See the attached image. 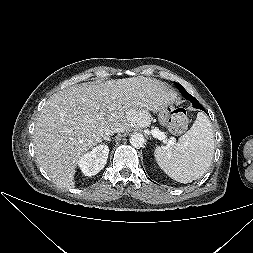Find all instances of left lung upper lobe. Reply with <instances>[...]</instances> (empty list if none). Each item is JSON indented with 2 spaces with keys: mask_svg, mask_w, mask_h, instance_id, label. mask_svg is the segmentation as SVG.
I'll return each mask as SVG.
<instances>
[{
  "mask_svg": "<svg viewBox=\"0 0 253 253\" xmlns=\"http://www.w3.org/2000/svg\"><path fill=\"white\" fill-rule=\"evenodd\" d=\"M175 86L178 88V90L182 93V95L191 101L193 96H191L179 83L174 82Z\"/></svg>",
  "mask_w": 253,
  "mask_h": 253,
  "instance_id": "left-lung-upper-lobe-1",
  "label": "left lung upper lobe"
}]
</instances>
